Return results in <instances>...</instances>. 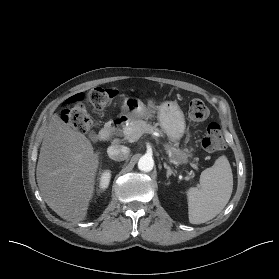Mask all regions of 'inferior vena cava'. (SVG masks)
Masks as SVG:
<instances>
[{
  "instance_id": "1",
  "label": "inferior vena cava",
  "mask_w": 279,
  "mask_h": 279,
  "mask_svg": "<svg viewBox=\"0 0 279 279\" xmlns=\"http://www.w3.org/2000/svg\"><path fill=\"white\" fill-rule=\"evenodd\" d=\"M130 150L128 147L120 145H112L107 149V154L109 158L114 161H123L126 160L129 156Z\"/></svg>"
}]
</instances>
